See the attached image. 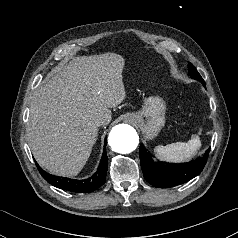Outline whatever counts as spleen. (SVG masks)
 Here are the masks:
<instances>
[{"label":"spleen","mask_w":238,"mask_h":238,"mask_svg":"<svg viewBox=\"0 0 238 238\" xmlns=\"http://www.w3.org/2000/svg\"><path fill=\"white\" fill-rule=\"evenodd\" d=\"M201 134V130L199 131ZM201 147V141L198 135H193L187 143L177 142L166 146L159 145L154 151L161 160L172 162H185L191 160Z\"/></svg>","instance_id":"3e777b00"}]
</instances>
